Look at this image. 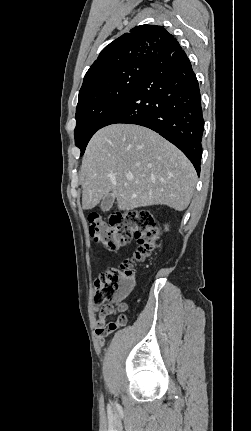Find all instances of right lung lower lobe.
<instances>
[{"instance_id": "98d812e1", "label": "right lung lower lobe", "mask_w": 251, "mask_h": 431, "mask_svg": "<svg viewBox=\"0 0 251 431\" xmlns=\"http://www.w3.org/2000/svg\"><path fill=\"white\" fill-rule=\"evenodd\" d=\"M134 92L107 118L115 123L150 128L178 147L198 175L202 156V117L199 84L191 63L181 49L152 55Z\"/></svg>"}]
</instances>
